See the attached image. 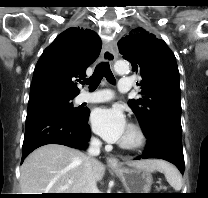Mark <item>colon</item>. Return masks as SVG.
<instances>
[{
  "label": "colon",
  "instance_id": "colon-1",
  "mask_svg": "<svg viewBox=\"0 0 208 198\" xmlns=\"http://www.w3.org/2000/svg\"><path fill=\"white\" fill-rule=\"evenodd\" d=\"M158 190H166V187H165V186H160V187L158 188Z\"/></svg>",
  "mask_w": 208,
  "mask_h": 198
}]
</instances>
